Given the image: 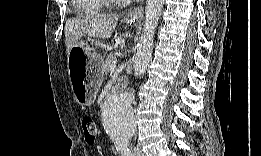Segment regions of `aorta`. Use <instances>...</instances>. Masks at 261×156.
<instances>
[{"label":"aorta","instance_id":"1","mask_svg":"<svg viewBox=\"0 0 261 156\" xmlns=\"http://www.w3.org/2000/svg\"><path fill=\"white\" fill-rule=\"evenodd\" d=\"M164 0H147L145 22L133 57L134 76H144L152 59L154 32L162 14ZM134 91L113 95L102 106V125L106 134L113 141L128 143L136 132V119L132 108Z\"/></svg>","mask_w":261,"mask_h":156}]
</instances>
